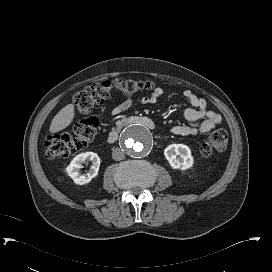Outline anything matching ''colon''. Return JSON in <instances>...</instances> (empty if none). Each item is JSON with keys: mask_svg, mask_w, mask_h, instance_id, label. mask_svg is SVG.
Returning a JSON list of instances; mask_svg holds the SVG:
<instances>
[{"mask_svg": "<svg viewBox=\"0 0 272 272\" xmlns=\"http://www.w3.org/2000/svg\"><path fill=\"white\" fill-rule=\"evenodd\" d=\"M154 88L151 81L132 79L106 80L102 83L87 86L74 97L77 110L84 116L67 133L51 135L46 142L49 157H68L83 150L94 139L98 130V120L92 115L96 106L103 103L113 90L126 95L148 92ZM228 145V135L224 130L214 131L201 146V155L210 157L214 152H223Z\"/></svg>", "mask_w": 272, "mask_h": 272, "instance_id": "colon-1", "label": "colon"}]
</instances>
